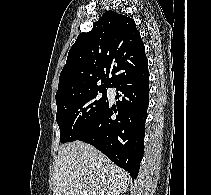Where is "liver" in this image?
Instances as JSON below:
<instances>
[{"instance_id":"liver-1","label":"liver","mask_w":211,"mask_h":195,"mask_svg":"<svg viewBox=\"0 0 211 195\" xmlns=\"http://www.w3.org/2000/svg\"><path fill=\"white\" fill-rule=\"evenodd\" d=\"M53 195H120L130 176L82 141L62 145L55 160Z\"/></svg>"}]
</instances>
